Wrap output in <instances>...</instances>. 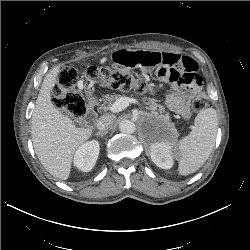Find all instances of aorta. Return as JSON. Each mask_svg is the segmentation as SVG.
<instances>
[{"label":"aorta","instance_id":"aorta-1","mask_svg":"<svg viewBox=\"0 0 250 250\" xmlns=\"http://www.w3.org/2000/svg\"><path fill=\"white\" fill-rule=\"evenodd\" d=\"M119 130L122 133L131 134L135 132L136 126L135 123L131 120H122L119 124Z\"/></svg>","mask_w":250,"mask_h":250}]
</instances>
